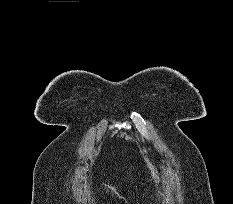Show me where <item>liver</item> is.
Returning <instances> with one entry per match:
<instances>
[{
  "label": "liver",
  "mask_w": 233,
  "mask_h": 204,
  "mask_svg": "<svg viewBox=\"0 0 233 204\" xmlns=\"http://www.w3.org/2000/svg\"><path fill=\"white\" fill-rule=\"evenodd\" d=\"M105 186H106V185H105ZM108 188H109L112 192H114L115 194H118L117 191H116V189H115V187H112V186H109V185H108Z\"/></svg>",
  "instance_id": "liver-1"
}]
</instances>
